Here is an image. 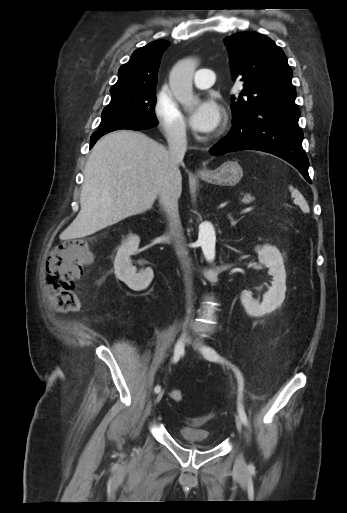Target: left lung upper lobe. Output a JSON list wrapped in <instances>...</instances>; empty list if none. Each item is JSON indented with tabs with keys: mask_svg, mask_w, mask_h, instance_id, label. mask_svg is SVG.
I'll use <instances>...</instances> for the list:
<instances>
[{
	"mask_svg": "<svg viewBox=\"0 0 347 513\" xmlns=\"http://www.w3.org/2000/svg\"><path fill=\"white\" fill-rule=\"evenodd\" d=\"M225 43L232 77L244 82L239 98L232 97L233 118L264 105H296L292 70L273 40L257 32H241L226 38Z\"/></svg>",
	"mask_w": 347,
	"mask_h": 513,
	"instance_id": "left-lung-upper-lobe-1",
	"label": "left lung upper lobe"
}]
</instances>
